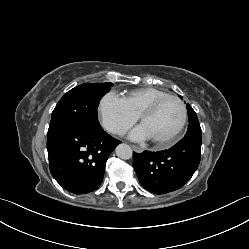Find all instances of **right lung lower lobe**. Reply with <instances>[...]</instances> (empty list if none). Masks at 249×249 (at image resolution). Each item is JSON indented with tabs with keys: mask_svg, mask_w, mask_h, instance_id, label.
<instances>
[{
	"mask_svg": "<svg viewBox=\"0 0 249 249\" xmlns=\"http://www.w3.org/2000/svg\"><path fill=\"white\" fill-rule=\"evenodd\" d=\"M120 143L102 127L76 128L47 138L50 171L67 191L84 194L96 190L106 161Z\"/></svg>",
	"mask_w": 249,
	"mask_h": 249,
	"instance_id": "obj_1",
	"label": "right lung lower lobe"
}]
</instances>
